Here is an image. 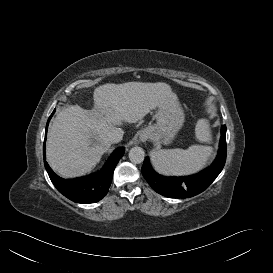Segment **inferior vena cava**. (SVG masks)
Returning a JSON list of instances; mask_svg holds the SVG:
<instances>
[{
    "label": "inferior vena cava",
    "mask_w": 273,
    "mask_h": 273,
    "mask_svg": "<svg viewBox=\"0 0 273 273\" xmlns=\"http://www.w3.org/2000/svg\"><path fill=\"white\" fill-rule=\"evenodd\" d=\"M108 139L111 143H118L123 139V131L120 128H116L108 136Z\"/></svg>",
    "instance_id": "inferior-vena-cava-1"
}]
</instances>
